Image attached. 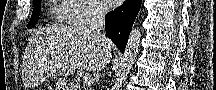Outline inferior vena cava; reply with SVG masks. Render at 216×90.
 I'll list each match as a JSON object with an SVG mask.
<instances>
[{
	"instance_id": "obj_1",
	"label": "inferior vena cava",
	"mask_w": 216,
	"mask_h": 90,
	"mask_svg": "<svg viewBox=\"0 0 216 90\" xmlns=\"http://www.w3.org/2000/svg\"><path fill=\"white\" fill-rule=\"evenodd\" d=\"M108 12L109 8L107 4H101V2H96V4H93L90 10L91 18L87 26L88 32H93V34H97V36H99L102 42L105 66L106 64H108V62H110L111 58V44L109 40H107L105 34V16L106 14H108ZM105 66H102L100 70H103Z\"/></svg>"
}]
</instances>
